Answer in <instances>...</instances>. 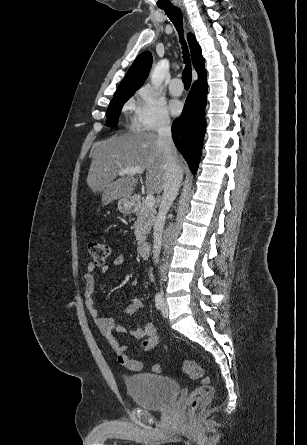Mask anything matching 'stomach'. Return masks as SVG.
Returning <instances> with one entry per match:
<instances>
[{"label": "stomach", "mask_w": 307, "mask_h": 445, "mask_svg": "<svg viewBox=\"0 0 307 445\" xmlns=\"http://www.w3.org/2000/svg\"><path fill=\"white\" fill-rule=\"evenodd\" d=\"M134 206L133 200H131L130 196H126V198H119L118 200V210L123 212V214H129Z\"/></svg>", "instance_id": "1"}]
</instances>
